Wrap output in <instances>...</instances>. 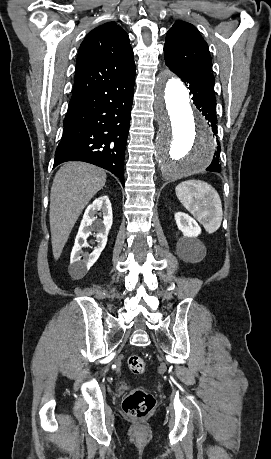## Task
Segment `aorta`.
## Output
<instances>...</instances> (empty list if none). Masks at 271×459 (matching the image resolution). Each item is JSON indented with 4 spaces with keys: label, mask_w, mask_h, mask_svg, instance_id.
I'll return each instance as SVG.
<instances>
[{
    "label": "aorta",
    "mask_w": 271,
    "mask_h": 459,
    "mask_svg": "<svg viewBox=\"0 0 271 459\" xmlns=\"http://www.w3.org/2000/svg\"><path fill=\"white\" fill-rule=\"evenodd\" d=\"M154 109L156 158L163 176L173 180L203 171L214 155L211 130L193 113L186 86L167 70L156 79Z\"/></svg>",
    "instance_id": "762f6f07"
}]
</instances>
